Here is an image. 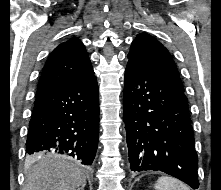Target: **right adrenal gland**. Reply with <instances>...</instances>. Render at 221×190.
Returning a JSON list of instances; mask_svg holds the SVG:
<instances>
[{"mask_svg": "<svg viewBox=\"0 0 221 190\" xmlns=\"http://www.w3.org/2000/svg\"><path fill=\"white\" fill-rule=\"evenodd\" d=\"M78 190H84V186H82L81 188H79Z\"/></svg>", "mask_w": 221, "mask_h": 190, "instance_id": "1", "label": "right adrenal gland"}]
</instances>
